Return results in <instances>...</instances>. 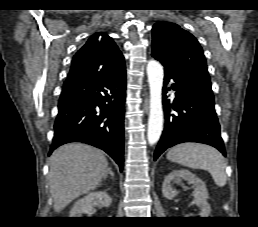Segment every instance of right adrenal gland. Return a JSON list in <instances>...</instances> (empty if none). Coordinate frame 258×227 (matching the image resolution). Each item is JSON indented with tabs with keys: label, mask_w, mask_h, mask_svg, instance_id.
Segmentation results:
<instances>
[{
	"label": "right adrenal gland",
	"mask_w": 258,
	"mask_h": 227,
	"mask_svg": "<svg viewBox=\"0 0 258 227\" xmlns=\"http://www.w3.org/2000/svg\"><path fill=\"white\" fill-rule=\"evenodd\" d=\"M108 173L110 174V176H111L112 178H114V173H113V171L111 170V168H108Z\"/></svg>",
	"instance_id": "right-adrenal-gland-1"
}]
</instances>
